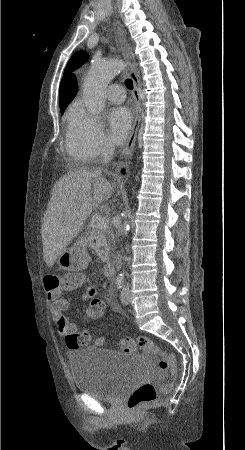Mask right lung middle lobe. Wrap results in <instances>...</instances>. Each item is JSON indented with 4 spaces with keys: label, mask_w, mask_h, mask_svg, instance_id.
Masks as SVG:
<instances>
[{
    "label": "right lung middle lobe",
    "mask_w": 245,
    "mask_h": 450,
    "mask_svg": "<svg viewBox=\"0 0 245 450\" xmlns=\"http://www.w3.org/2000/svg\"><path fill=\"white\" fill-rule=\"evenodd\" d=\"M65 108H66V107H64V108H61V112H63V111L65 110Z\"/></svg>",
    "instance_id": "dd1d6c3e"
}]
</instances>
